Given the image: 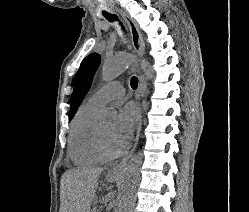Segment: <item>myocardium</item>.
Returning <instances> with one entry per match:
<instances>
[{"instance_id": "f54148a6", "label": "myocardium", "mask_w": 249, "mask_h": 212, "mask_svg": "<svg viewBox=\"0 0 249 212\" xmlns=\"http://www.w3.org/2000/svg\"><path fill=\"white\" fill-rule=\"evenodd\" d=\"M94 140H95V145H96L97 151H98L99 155L103 158V160L111 161V160H114L120 156V154L118 152L109 151L106 148V146L104 145V142L102 140L101 133H100L99 124H96V126H95Z\"/></svg>"}]
</instances>
